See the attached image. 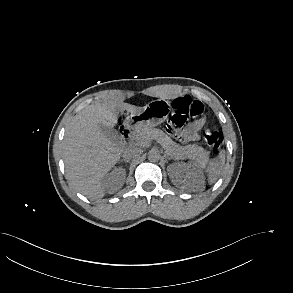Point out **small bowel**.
Segmentation results:
<instances>
[{
	"instance_id": "small-bowel-1",
	"label": "small bowel",
	"mask_w": 293,
	"mask_h": 293,
	"mask_svg": "<svg viewBox=\"0 0 293 293\" xmlns=\"http://www.w3.org/2000/svg\"><path fill=\"white\" fill-rule=\"evenodd\" d=\"M205 123L204 118H199L192 122L185 130L183 134L184 140L187 141H196L199 139L198 131L203 127Z\"/></svg>"
}]
</instances>
